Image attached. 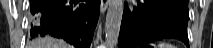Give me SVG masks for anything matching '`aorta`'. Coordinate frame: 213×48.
Returning a JSON list of instances; mask_svg holds the SVG:
<instances>
[{
  "instance_id": "obj_1",
  "label": "aorta",
  "mask_w": 213,
  "mask_h": 48,
  "mask_svg": "<svg viewBox=\"0 0 213 48\" xmlns=\"http://www.w3.org/2000/svg\"><path fill=\"white\" fill-rule=\"evenodd\" d=\"M123 10V0H110L105 22V43L109 48L118 43Z\"/></svg>"
}]
</instances>
